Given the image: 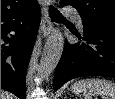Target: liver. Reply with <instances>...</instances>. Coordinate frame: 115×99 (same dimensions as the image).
<instances>
[{
    "label": "liver",
    "instance_id": "1",
    "mask_svg": "<svg viewBox=\"0 0 115 99\" xmlns=\"http://www.w3.org/2000/svg\"><path fill=\"white\" fill-rule=\"evenodd\" d=\"M13 97L12 94L1 90V99H14Z\"/></svg>",
    "mask_w": 115,
    "mask_h": 99
}]
</instances>
